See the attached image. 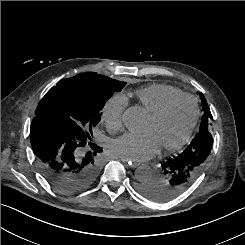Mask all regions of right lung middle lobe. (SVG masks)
<instances>
[{
  "label": "right lung middle lobe",
  "mask_w": 245,
  "mask_h": 245,
  "mask_svg": "<svg viewBox=\"0 0 245 245\" xmlns=\"http://www.w3.org/2000/svg\"><path fill=\"white\" fill-rule=\"evenodd\" d=\"M126 82L95 72H85L59 81L39 102L35 114L63 127L76 141L91 139L101 110Z\"/></svg>",
  "instance_id": "right-lung-middle-lobe-1"
}]
</instances>
